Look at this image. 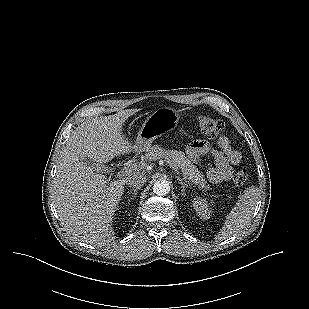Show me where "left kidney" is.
<instances>
[{"label":"left kidney","instance_id":"1","mask_svg":"<svg viewBox=\"0 0 309 309\" xmlns=\"http://www.w3.org/2000/svg\"><path fill=\"white\" fill-rule=\"evenodd\" d=\"M212 203V202H211ZM193 207L196 210L198 216L201 219H209L211 215V210L209 208V203L206 199L201 197H196L193 199Z\"/></svg>","mask_w":309,"mask_h":309}]
</instances>
